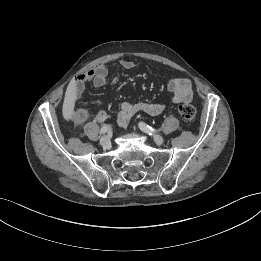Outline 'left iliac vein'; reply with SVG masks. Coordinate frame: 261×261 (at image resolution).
<instances>
[{
    "instance_id": "left-iliac-vein-1",
    "label": "left iliac vein",
    "mask_w": 261,
    "mask_h": 261,
    "mask_svg": "<svg viewBox=\"0 0 261 261\" xmlns=\"http://www.w3.org/2000/svg\"><path fill=\"white\" fill-rule=\"evenodd\" d=\"M153 139H154V142H155L157 145H162L163 142H164V139H163L160 135H157V134H154V135H153Z\"/></svg>"
}]
</instances>
